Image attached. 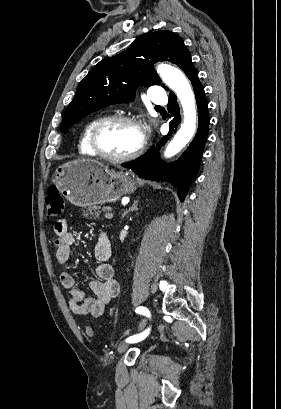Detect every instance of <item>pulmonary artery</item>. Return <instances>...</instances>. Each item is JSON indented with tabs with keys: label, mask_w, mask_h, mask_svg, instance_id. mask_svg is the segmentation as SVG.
<instances>
[{
	"label": "pulmonary artery",
	"mask_w": 281,
	"mask_h": 409,
	"mask_svg": "<svg viewBox=\"0 0 281 409\" xmlns=\"http://www.w3.org/2000/svg\"><path fill=\"white\" fill-rule=\"evenodd\" d=\"M149 87L151 88L150 97L153 103H167L168 96L164 94L165 89L159 81H152Z\"/></svg>",
	"instance_id": "e3ab8cb5"
}]
</instances>
